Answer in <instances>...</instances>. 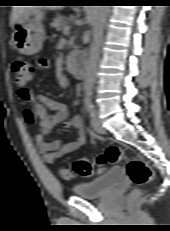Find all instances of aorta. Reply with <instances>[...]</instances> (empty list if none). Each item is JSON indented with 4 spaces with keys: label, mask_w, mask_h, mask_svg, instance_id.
<instances>
[{
    "label": "aorta",
    "mask_w": 170,
    "mask_h": 231,
    "mask_svg": "<svg viewBox=\"0 0 170 231\" xmlns=\"http://www.w3.org/2000/svg\"><path fill=\"white\" fill-rule=\"evenodd\" d=\"M109 12V6H95L93 11V40L89 50L86 72L84 75V85L87 91H90L96 79L97 64L100 57L101 45L103 40V30L106 18Z\"/></svg>",
    "instance_id": "762f6f07"
}]
</instances>
